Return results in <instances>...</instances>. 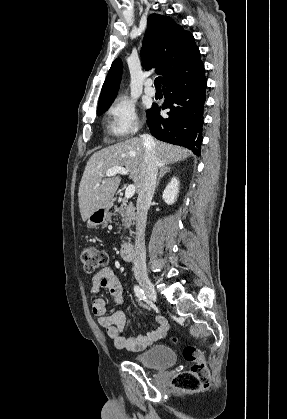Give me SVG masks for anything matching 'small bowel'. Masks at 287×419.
<instances>
[{
  "label": "small bowel",
  "mask_w": 287,
  "mask_h": 419,
  "mask_svg": "<svg viewBox=\"0 0 287 419\" xmlns=\"http://www.w3.org/2000/svg\"><path fill=\"white\" fill-rule=\"evenodd\" d=\"M100 289L107 290L113 297L115 303L121 304L122 285L120 279L111 267H105L92 277L90 292L96 295ZM106 302L102 298H95L92 302V312L98 323L105 329L117 349L139 352L163 338L169 329V324L163 316H157L153 328L145 335L136 338H125L122 335L126 325V316L123 312L117 311L106 315Z\"/></svg>",
  "instance_id": "c3829d8e"
}]
</instances>
